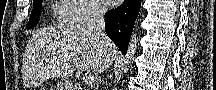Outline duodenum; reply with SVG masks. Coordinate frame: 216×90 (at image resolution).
<instances>
[{"instance_id": "duodenum-1", "label": "duodenum", "mask_w": 216, "mask_h": 90, "mask_svg": "<svg viewBox=\"0 0 216 90\" xmlns=\"http://www.w3.org/2000/svg\"><path fill=\"white\" fill-rule=\"evenodd\" d=\"M75 90H82V89L81 88H78V89L76 88Z\"/></svg>"}]
</instances>
